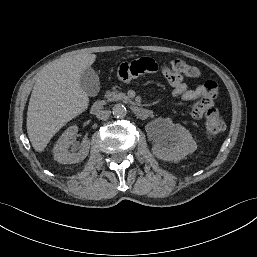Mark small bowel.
<instances>
[{
  "label": "small bowel",
  "instance_id": "small-bowel-1",
  "mask_svg": "<svg viewBox=\"0 0 257 257\" xmlns=\"http://www.w3.org/2000/svg\"><path fill=\"white\" fill-rule=\"evenodd\" d=\"M157 74L166 80L170 88H173V97L184 101H196L190 111L191 118L201 119L213 106L217 96V86L213 81L188 88L184 82V75L179 70L164 62L157 65L150 57L127 60L119 65L116 70V81L121 86H131L136 82L153 79Z\"/></svg>",
  "mask_w": 257,
  "mask_h": 257
}]
</instances>
